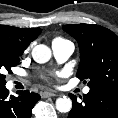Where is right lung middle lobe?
Wrapping results in <instances>:
<instances>
[{"instance_id":"1","label":"right lung middle lobe","mask_w":118,"mask_h":118,"mask_svg":"<svg viewBox=\"0 0 118 118\" xmlns=\"http://www.w3.org/2000/svg\"><path fill=\"white\" fill-rule=\"evenodd\" d=\"M22 53L5 43H0V87L6 84L4 72H12L11 68L18 65Z\"/></svg>"}]
</instances>
